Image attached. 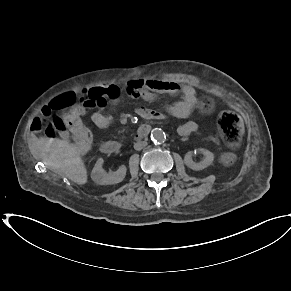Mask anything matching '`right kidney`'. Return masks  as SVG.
<instances>
[{
    "label": "right kidney",
    "mask_w": 291,
    "mask_h": 291,
    "mask_svg": "<svg viewBox=\"0 0 291 291\" xmlns=\"http://www.w3.org/2000/svg\"><path fill=\"white\" fill-rule=\"evenodd\" d=\"M104 160L99 158L92 170L91 178L93 181L100 185L117 184L123 181L126 176L127 168L125 165L119 167L115 172L106 173L102 168Z\"/></svg>",
    "instance_id": "right-kidney-1"
}]
</instances>
